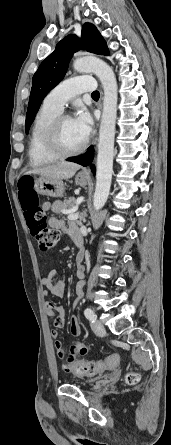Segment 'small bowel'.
I'll list each match as a JSON object with an SVG mask.
<instances>
[{
	"instance_id": "obj_1",
	"label": "small bowel",
	"mask_w": 171,
	"mask_h": 445,
	"mask_svg": "<svg viewBox=\"0 0 171 445\" xmlns=\"http://www.w3.org/2000/svg\"><path fill=\"white\" fill-rule=\"evenodd\" d=\"M44 209L45 210H54L57 208V204H53L50 202L44 203ZM49 224L51 227L59 230H64L65 225L62 220L51 217L49 219ZM67 230L70 232V234L74 237L75 235H80V232L78 228L75 225H69ZM79 255L77 256L78 259ZM78 276L81 279V285L84 283V268L79 267L78 268ZM41 284L47 289V291L44 292V296L48 295V292L51 293L54 296L57 297H63L65 294L66 285L65 282L60 280L55 272H50L48 275L42 278ZM45 309L46 314L53 318V326L55 329L63 327L65 323V309L63 306L55 305L54 303L50 301L45 302ZM70 332L73 336H78L80 334V326L78 324V321L75 317H72L70 320ZM52 338L54 341V346L57 351V354L60 357L66 356L67 364L63 366L65 370H69L71 368V365L75 361V353L78 352V344L76 343L71 347V351L68 355L65 354V351L63 349L62 342L59 337V333L56 330L52 331ZM79 353V352H78ZM116 361L113 364H108L107 368L109 369H115L118 365V356L115 355Z\"/></svg>"
}]
</instances>
